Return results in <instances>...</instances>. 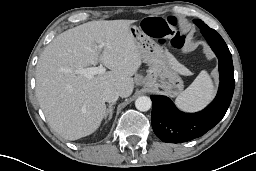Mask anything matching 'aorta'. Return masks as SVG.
<instances>
[{"label":"aorta","instance_id":"1","mask_svg":"<svg viewBox=\"0 0 256 171\" xmlns=\"http://www.w3.org/2000/svg\"><path fill=\"white\" fill-rule=\"evenodd\" d=\"M152 106V101L147 96H140L135 101V107L137 110L145 112L148 111Z\"/></svg>","mask_w":256,"mask_h":171}]
</instances>
